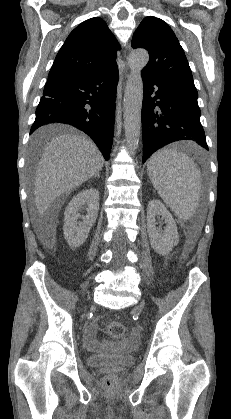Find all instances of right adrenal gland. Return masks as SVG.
<instances>
[{
  "mask_svg": "<svg viewBox=\"0 0 231 419\" xmlns=\"http://www.w3.org/2000/svg\"><path fill=\"white\" fill-rule=\"evenodd\" d=\"M94 177H95V178H96V177H97V178H100V174H99V173H97Z\"/></svg>",
  "mask_w": 231,
  "mask_h": 419,
  "instance_id": "obj_1",
  "label": "right adrenal gland"
}]
</instances>
